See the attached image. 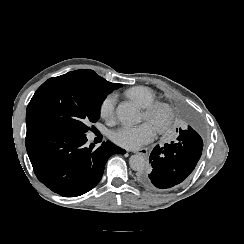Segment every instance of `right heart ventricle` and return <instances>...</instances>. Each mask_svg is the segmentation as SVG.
<instances>
[{
	"instance_id": "obj_1",
	"label": "right heart ventricle",
	"mask_w": 244,
	"mask_h": 244,
	"mask_svg": "<svg viewBox=\"0 0 244 244\" xmlns=\"http://www.w3.org/2000/svg\"><path fill=\"white\" fill-rule=\"evenodd\" d=\"M124 95L136 102L140 107L146 108L156 104V98L151 89L144 86H137L127 89Z\"/></svg>"
}]
</instances>
